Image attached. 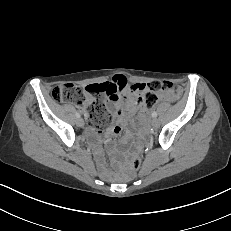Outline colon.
<instances>
[{
	"label": "colon",
	"mask_w": 231,
	"mask_h": 231,
	"mask_svg": "<svg viewBox=\"0 0 231 231\" xmlns=\"http://www.w3.org/2000/svg\"><path fill=\"white\" fill-rule=\"evenodd\" d=\"M148 93L144 97V104L153 106L158 101V94L165 93L176 95L179 87L169 81H154L147 85ZM106 88L104 85L92 84L85 88L75 84H61L53 88L51 96L58 103L73 102L84 106V110L90 118L92 125L96 127L105 126L110 120V114L106 110L102 101L96 99L103 97ZM89 99L88 101L86 99ZM142 162V151L135 149L130 160V170L138 171Z\"/></svg>",
	"instance_id": "5ec220e1"
}]
</instances>
